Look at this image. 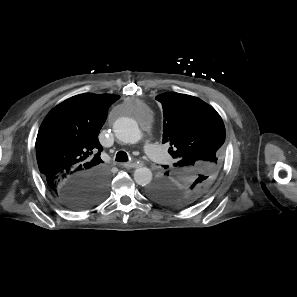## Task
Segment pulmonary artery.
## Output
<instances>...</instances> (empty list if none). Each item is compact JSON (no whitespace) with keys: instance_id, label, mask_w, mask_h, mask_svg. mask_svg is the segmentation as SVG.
Instances as JSON below:
<instances>
[{"instance_id":"e3ab8cb5","label":"pulmonary artery","mask_w":297,"mask_h":297,"mask_svg":"<svg viewBox=\"0 0 297 297\" xmlns=\"http://www.w3.org/2000/svg\"><path fill=\"white\" fill-rule=\"evenodd\" d=\"M143 150L154 161L159 163L166 162V156L161 146L146 141L143 144Z\"/></svg>"}]
</instances>
